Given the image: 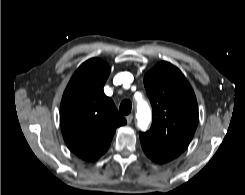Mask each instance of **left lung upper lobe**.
Listing matches in <instances>:
<instances>
[{"label":"left lung upper lobe","instance_id":"obj_1","mask_svg":"<svg viewBox=\"0 0 245 195\" xmlns=\"http://www.w3.org/2000/svg\"><path fill=\"white\" fill-rule=\"evenodd\" d=\"M144 85L153 109L149 131L144 138L161 148L183 152L197 128L199 115L194 91L182 72L168 62L148 71Z\"/></svg>","mask_w":245,"mask_h":195}]
</instances>
